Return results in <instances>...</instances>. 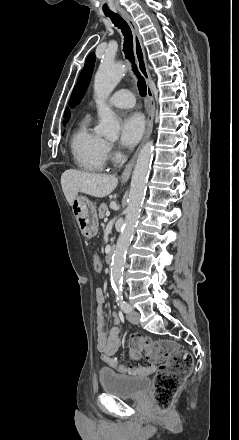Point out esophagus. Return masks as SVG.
<instances>
[{
  "mask_svg": "<svg viewBox=\"0 0 239 440\" xmlns=\"http://www.w3.org/2000/svg\"><path fill=\"white\" fill-rule=\"evenodd\" d=\"M120 13H121L122 17L124 18V20H126L127 24L129 25V27L132 31L133 48H134V53H135V57H136L137 64H138V69H139V72L141 73V75L147 81V96L150 100V111H149L148 117H147V127H146V133L144 135L143 141L139 145V147L137 148V150L134 153L131 160L128 162V165H126V168L124 169L122 176H121V181L126 182L130 178V175L132 173V169L135 164V160L137 158V155L139 153L140 148L142 147V145L146 142V140L150 137V135L152 133L154 113H155V104H154V94H153V91H152V88L150 85L151 77H150V74H149V71L147 68L145 51H144L141 37L138 32L137 25L126 11H120Z\"/></svg>",
  "mask_w": 239,
  "mask_h": 440,
  "instance_id": "1",
  "label": "esophagus"
}]
</instances>
